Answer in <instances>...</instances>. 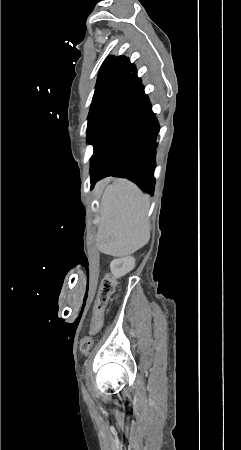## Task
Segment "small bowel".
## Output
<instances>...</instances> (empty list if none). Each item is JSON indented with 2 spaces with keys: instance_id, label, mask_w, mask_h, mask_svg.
Segmentation results:
<instances>
[{
  "instance_id": "1",
  "label": "small bowel",
  "mask_w": 241,
  "mask_h": 450,
  "mask_svg": "<svg viewBox=\"0 0 241 450\" xmlns=\"http://www.w3.org/2000/svg\"><path fill=\"white\" fill-rule=\"evenodd\" d=\"M91 333H97L99 330H90Z\"/></svg>"
}]
</instances>
